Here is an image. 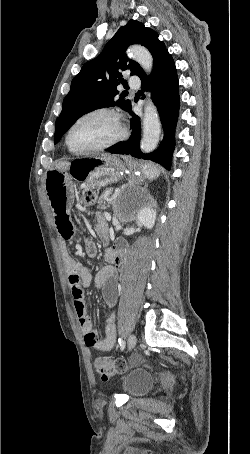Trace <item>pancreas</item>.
Masks as SVG:
<instances>
[{
    "label": "pancreas",
    "mask_w": 250,
    "mask_h": 454,
    "mask_svg": "<svg viewBox=\"0 0 250 454\" xmlns=\"http://www.w3.org/2000/svg\"><path fill=\"white\" fill-rule=\"evenodd\" d=\"M112 192V189L108 188L103 193L101 194L99 198V208L100 209H106V201L105 198Z\"/></svg>",
    "instance_id": "cf45deb5"
}]
</instances>
